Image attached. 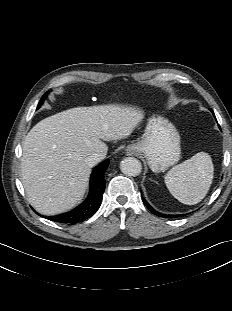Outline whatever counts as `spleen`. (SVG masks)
Listing matches in <instances>:
<instances>
[{"mask_svg": "<svg viewBox=\"0 0 232 311\" xmlns=\"http://www.w3.org/2000/svg\"><path fill=\"white\" fill-rule=\"evenodd\" d=\"M213 174L214 166L210 155L199 152L168 171L165 184L178 201L194 205L208 193Z\"/></svg>", "mask_w": 232, "mask_h": 311, "instance_id": "obj_1", "label": "spleen"}]
</instances>
